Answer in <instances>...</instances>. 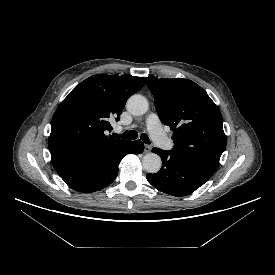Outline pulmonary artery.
<instances>
[{
	"label": "pulmonary artery",
	"mask_w": 275,
	"mask_h": 275,
	"mask_svg": "<svg viewBox=\"0 0 275 275\" xmlns=\"http://www.w3.org/2000/svg\"><path fill=\"white\" fill-rule=\"evenodd\" d=\"M146 124L153 141L159 147L163 149H170L172 147V144L163 132L160 120L155 113H152L148 116Z\"/></svg>",
	"instance_id": "1"
}]
</instances>
